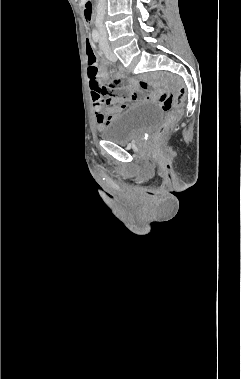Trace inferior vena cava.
I'll return each mask as SVG.
<instances>
[{
    "label": "inferior vena cava",
    "mask_w": 241,
    "mask_h": 379,
    "mask_svg": "<svg viewBox=\"0 0 241 379\" xmlns=\"http://www.w3.org/2000/svg\"><path fill=\"white\" fill-rule=\"evenodd\" d=\"M106 10V1L98 0L97 5V15H96V27L98 28L100 38L103 40L107 39V33L104 26V15Z\"/></svg>",
    "instance_id": "obj_1"
}]
</instances>
